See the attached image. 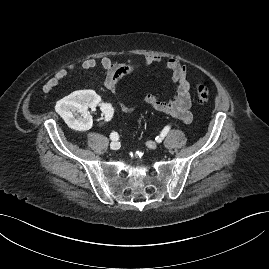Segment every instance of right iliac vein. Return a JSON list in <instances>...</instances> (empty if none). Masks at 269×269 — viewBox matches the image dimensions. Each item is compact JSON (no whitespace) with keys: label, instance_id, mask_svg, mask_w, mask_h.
Returning <instances> with one entry per match:
<instances>
[{"label":"right iliac vein","instance_id":"right-iliac-vein-1","mask_svg":"<svg viewBox=\"0 0 269 269\" xmlns=\"http://www.w3.org/2000/svg\"><path fill=\"white\" fill-rule=\"evenodd\" d=\"M110 148L112 150H118L120 148V143L117 141H113L110 143Z\"/></svg>","mask_w":269,"mask_h":269}]
</instances>
